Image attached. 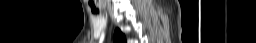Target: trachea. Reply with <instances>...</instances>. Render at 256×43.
Instances as JSON below:
<instances>
[{
	"label": "trachea",
	"instance_id": "obj_1",
	"mask_svg": "<svg viewBox=\"0 0 256 43\" xmlns=\"http://www.w3.org/2000/svg\"><path fill=\"white\" fill-rule=\"evenodd\" d=\"M92 12H93L94 14L98 13V11H96L95 9H92Z\"/></svg>",
	"mask_w": 256,
	"mask_h": 43
}]
</instances>
